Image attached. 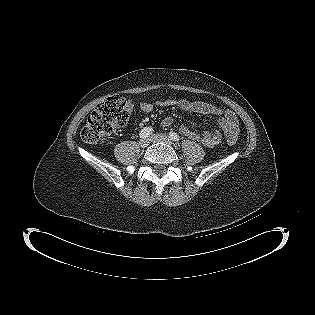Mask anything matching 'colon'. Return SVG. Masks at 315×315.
<instances>
[{"mask_svg": "<svg viewBox=\"0 0 315 315\" xmlns=\"http://www.w3.org/2000/svg\"><path fill=\"white\" fill-rule=\"evenodd\" d=\"M129 118L125 99L119 95L110 96L90 114L81 130V138L89 144L103 141L117 128L127 124ZM228 143L233 145L235 140L229 138Z\"/></svg>", "mask_w": 315, "mask_h": 315, "instance_id": "5ec220e1", "label": "colon"}]
</instances>
